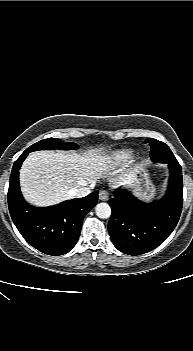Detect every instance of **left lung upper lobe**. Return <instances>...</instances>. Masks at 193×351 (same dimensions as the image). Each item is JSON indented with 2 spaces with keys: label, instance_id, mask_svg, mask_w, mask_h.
I'll use <instances>...</instances> for the list:
<instances>
[{
  "label": "left lung upper lobe",
  "instance_id": "left-lung-upper-lobe-1",
  "mask_svg": "<svg viewBox=\"0 0 193 351\" xmlns=\"http://www.w3.org/2000/svg\"><path fill=\"white\" fill-rule=\"evenodd\" d=\"M145 143L151 146L150 157L153 162L168 163L176 160L170 148L163 142L153 138L146 139Z\"/></svg>",
  "mask_w": 193,
  "mask_h": 351
}]
</instances>
